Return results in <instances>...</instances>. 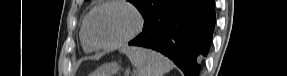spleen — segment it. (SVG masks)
Segmentation results:
<instances>
[{
    "instance_id": "3e777b00",
    "label": "spleen",
    "mask_w": 287,
    "mask_h": 76,
    "mask_svg": "<svg viewBox=\"0 0 287 76\" xmlns=\"http://www.w3.org/2000/svg\"><path fill=\"white\" fill-rule=\"evenodd\" d=\"M120 51L137 68V76H163L172 69V63L169 59L150 49L126 46Z\"/></svg>"
}]
</instances>
